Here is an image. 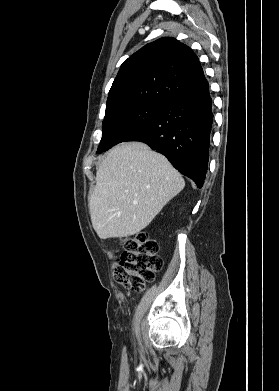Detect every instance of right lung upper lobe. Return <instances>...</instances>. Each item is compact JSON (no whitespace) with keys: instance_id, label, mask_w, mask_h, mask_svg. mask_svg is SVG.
Returning <instances> with one entry per match:
<instances>
[{"instance_id":"obj_1","label":"right lung upper lobe","mask_w":279,"mask_h":391,"mask_svg":"<svg viewBox=\"0 0 279 391\" xmlns=\"http://www.w3.org/2000/svg\"><path fill=\"white\" fill-rule=\"evenodd\" d=\"M205 78L196 54L172 37L160 38L121 65L109 91L106 112L137 103H161Z\"/></svg>"}]
</instances>
